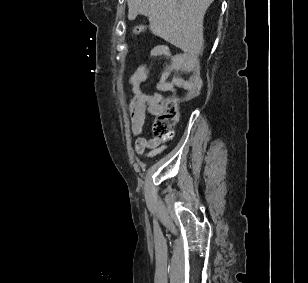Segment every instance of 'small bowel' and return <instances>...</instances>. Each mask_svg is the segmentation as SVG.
<instances>
[{
  "instance_id": "obj_1",
  "label": "small bowel",
  "mask_w": 308,
  "mask_h": 283,
  "mask_svg": "<svg viewBox=\"0 0 308 283\" xmlns=\"http://www.w3.org/2000/svg\"><path fill=\"white\" fill-rule=\"evenodd\" d=\"M154 55L169 54L165 46H157L153 49ZM193 58L186 54L171 55V61L162 71L156 85L157 93L146 94L142 90V84L148 79V69L145 66L138 67L129 78L132 86L129 99V114L131 120V131L136 137L134 151L145 158H152L163 153L167 146L162 140L154 137H144L142 133L146 130L147 114L157 115L161 110L160 102L167 92H176L178 89H186L189 85V78ZM173 74V75H172Z\"/></svg>"
}]
</instances>
